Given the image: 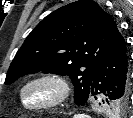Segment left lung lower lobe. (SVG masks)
Wrapping results in <instances>:
<instances>
[{
	"label": "left lung lower lobe",
	"mask_w": 133,
	"mask_h": 118,
	"mask_svg": "<svg viewBox=\"0 0 133 118\" xmlns=\"http://www.w3.org/2000/svg\"><path fill=\"white\" fill-rule=\"evenodd\" d=\"M129 83V55L124 37L119 32L93 72L86 103L97 100L98 96L99 101L109 102L130 97Z\"/></svg>",
	"instance_id": "1"
}]
</instances>
